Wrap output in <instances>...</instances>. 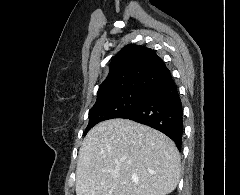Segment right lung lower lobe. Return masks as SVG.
I'll use <instances>...</instances> for the list:
<instances>
[{
    "label": "right lung lower lobe",
    "mask_w": 240,
    "mask_h": 195,
    "mask_svg": "<svg viewBox=\"0 0 240 195\" xmlns=\"http://www.w3.org/2000/svg\"><path fill=\"white\" fill-rule=\"evenodd\" d=\"M119 118L130 119L161 131L181 150L183 109L172 77L152 87L138 106Z\"/></svg>",
    "instance_id": "obj_1"
}]
</instances>
